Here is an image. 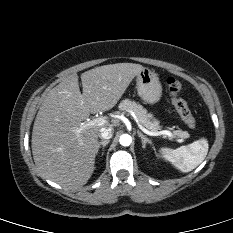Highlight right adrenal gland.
<instances>
[{
	"label": "right adrenal gland",
	"instance_id": "2a0ac1e0",
	"mask_svg": "<svg viewBox=\"0 0 233 233\" xmlns=\"http://www.w3.org/2000/svg\"><path fill=\"white\" fill-rule=\"evenodd\" d=\"M109 143V140H102L101 142L98 143V146H97V151L102 147V155L104 154V149L106 147V145H108Z\"/></svg>",
	"mask_w": 233,
	"mask_h": 233
}]
</instances>
